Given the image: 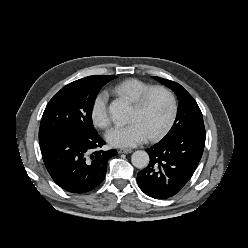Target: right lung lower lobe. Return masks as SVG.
<instances>
[{
    "label": "right lung lower lobe",
    "mask_w": 248,
    "mask_h": 248,
    "mask_svg": "<svg viewBox=\"0 0 248 248\" xmlns=\"http://www.w3.org/2000/svg\"><path fill=\"white\" fill-rule=\"evenodd\" d=\"M105 141L95 133L65 131L40 144L44 164L52 179L71 193H85L105 178L107 162L115 149L98 150Z\"/></svg>",
    "instance_id": "1"
}]
</instances>
